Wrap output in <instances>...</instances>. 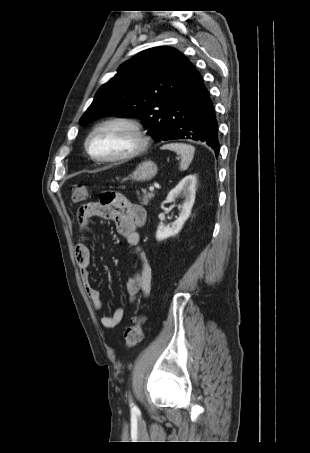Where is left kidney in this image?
<instances>
[{
	"label": "left kidney",
	"instance_id": "left-kidney-1",
	"mask_svg": "<svg viewBox=\"0 0 310 453\" xmlns=\"http://www.w3.org/2000/svg\"><path fill=\"white\" fill-rule=\"evenodd\" d=\"M196 182L197 179L195 175H188L184 177L167 195V203L174 202L179 197L184 198L185 200L181 206L179 217L171 224V226L163 223L158 225L156 231V239L158 241L175 236L183 228L184 223L191 214V209L195 202Z\"/></svg>",
	"mask_w": 310,
	"mask_h": 453
}]
</instances>
